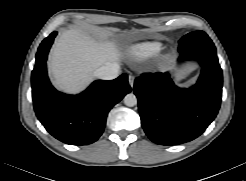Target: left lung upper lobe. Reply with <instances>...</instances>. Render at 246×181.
Returning <instances> with one entry per match:
<instances>
[{
    "label": "left lung upper lobe",
    "mask_w": 246,
    "mask_h": 181,
    "mask_svg": "<svg viewBox=\"0 0 246 181\" xmlns=\"http://www.w3.org/2000/svg\"><path fill=\"white\" fill-rule=\"evenodd\" d=\"M209 40H211V39L203 31H194V32H191V33L183 36L179 40V48L178 49L186 48V47L192 46V45H197L199 43L207 42Z\"/></svg>",
    "instance_id": "1"
}]
</instances>
